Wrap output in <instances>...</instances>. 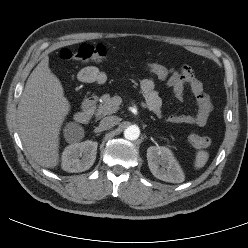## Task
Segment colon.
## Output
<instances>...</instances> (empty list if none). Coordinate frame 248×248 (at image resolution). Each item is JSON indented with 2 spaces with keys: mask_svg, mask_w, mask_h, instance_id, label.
I'll list each match as a JSON object with an SVG mask.
<instances>
[{
  "mask_svg": "<svg viewBox=\"0 0 248 248\" xmlns=\"http://www.w3.org/2000/svg\"><path fill=\"white\" fill-rule=\"evenodd\" d=\"M109 56V49L103 44H82L75 50L64 48L60 51V58L69 62L98 63L106 60ZM143 68L146 72L156 76L162 81H167L172 74V70L169 67L157 62H145ZM189 141L198 149H205L211 144L208 137L195 133L189 135Z\"/></svg>",
  "mask_w": 248,
  "mask_h": 248,
  "instance_id": "5ec220e1",
  "label": "colon"
}]
</instances>
